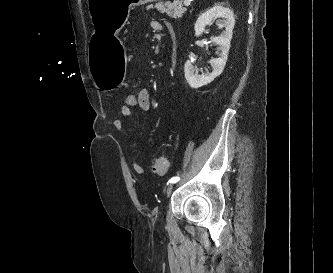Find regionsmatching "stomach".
<instances>
[{
  "instance_id": "0dacf381",
  "label": "stomach",
  "mask_w": 333,
  "mask_h": 273,
  "mask_svg": "<svg viewBox=\"0 0 333 273\" xmlns=\"http://www.w3.org/2000/svg\"><path fill=\"white\" fill-rule=\"evenodd\" d=\"M159 0H88L94 31L88 44V55L92 56L90 69L95 85L110 91L125 81L128 58H125L124 44H120L119 32L126 27L128 10L132 7Z\"/></svg>"
}]
</instances>
